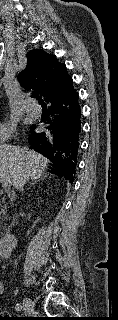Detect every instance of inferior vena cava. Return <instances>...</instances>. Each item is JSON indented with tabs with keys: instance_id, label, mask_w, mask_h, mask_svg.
Here are the masks:
<instances>
[{
	"instance_id": "602c4592",
	"label": "inferior vena cava",
	"mask_w": 118,
	"mask_h": 320,
	"mask_svg": "<svg viewBox=\"0 0 118 320\" xmlns=\"http://www.w3.org/2000/svg\"><path fill=\"white\" fill-rule=\"evenodd\" d=\"M24 152L29 153L28 149H24ZM26 182V181H25Z\"/></svg>"
}]
</instances>
